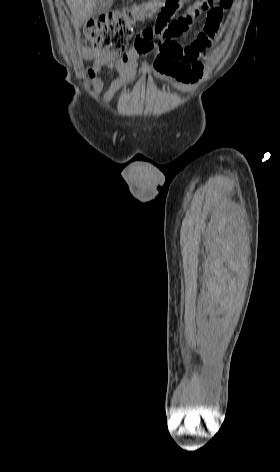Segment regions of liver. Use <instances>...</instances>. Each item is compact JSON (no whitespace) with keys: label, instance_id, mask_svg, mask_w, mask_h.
Here are the masks:
<instances>
[{"label":"liver","instance_id":"6515ba94","mask_svg":"<svg viewBox=\"0 0 280 472\" xmlns=\"http://www.w3.org/2000/svg\"><path fill=\"white\" fill-rule=\"evenodd\" d=\"M66 2L72 13V23L75 28L81 27L93 14L95 0H66Z\"/></svg>","mask_w":280,"mask_h":472}]
</instances>
